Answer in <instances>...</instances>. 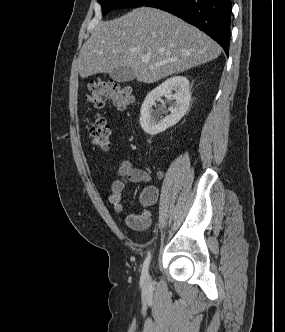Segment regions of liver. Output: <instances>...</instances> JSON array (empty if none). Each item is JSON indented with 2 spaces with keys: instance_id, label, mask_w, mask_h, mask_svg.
Returning <instances> with one entry per match:
<instances>
[{
  "instance_id": "6515ba94",
  "label": "liver",
  "mask_w": 285,
  "mask_h": 332,
  "mask_svg": "<svg viewBox=\"0 0 285 332\" xmlns=\"http://www.w3.org/2000/svg\"><path fill=\"white\" fill-rule=\"evenodd\" d=\"M220 54L221 47L196 27L165 11L140 7L96 24L81 48L79 74L87 78L130 67L137 81L154 83ZM144 56L148 62L142 61Z\"/></svg>"
}]
</instances>
